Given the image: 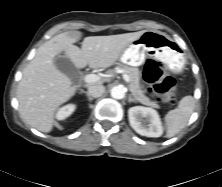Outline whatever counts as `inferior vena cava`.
<instances>
[{"instance_id": "obj_1", "label": "inferior vena cava", "mask_w": 222, "mask_h": 187, "mask_svg": "<svg viewBox=\"0 0 222 187\" xmlns=\"http://www.w3.org/2000/svg\"><path fill=\"white\" fill-rule=\"evenodd\" d=\"M88 93L92 97H100L105 93V87L102 84H94L88 87Z\"/></svg>"}]
</instances>
